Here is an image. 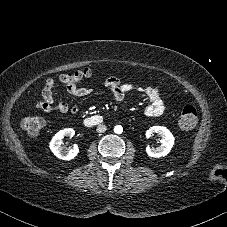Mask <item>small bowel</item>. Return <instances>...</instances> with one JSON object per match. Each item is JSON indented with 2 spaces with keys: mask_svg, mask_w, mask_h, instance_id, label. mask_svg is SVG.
<instances>
[{
  "mask_svg": "<svg viewBox=\"0 0 227 227\" xmlns=\"http://www.w3.org/2000/svg\"><path fill=\"white\" fill-rule=\"evenodd\" d=\"M55 82L53 79H47L44 83L41 92V100L36 104V107L42 111L50 112L57 111L64 115L78 113L77 106H69L65 101H59L54 95ZM105 87L112 93L116 101H121L129 92L145 97L144 112L147 116L158 117L165 111V104L161 97L160 90L152 85H137L134 83H121L119 78L112 76L105 82ZM74 96H85L93 92L90 87H77L69 90Z\"/></svg>",
  "mask_w": 227,
  "mask_h": 227,
  "instance_id": "obj_1",
  "label": "small bowel"
}]
</instances>
